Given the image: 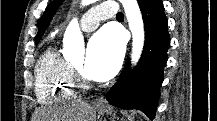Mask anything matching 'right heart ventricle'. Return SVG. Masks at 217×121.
Segmentation results:
<instances>
[{
  "instance_id": "obj_1",
  "label": "right heart ventricle",
  "mask_w": 217,
  "mask_h": 121,
  "mask_svg": "<svg viewBox=\"0 0 217 121\" xmlns=\"http://www.w3.org/2000/svg\"><path fill=\"white\" fill-rule=\"evenodd\" d=\"M35 93L43 104L64 101L74 94L71 65L56 47L47 48L35 70Z\"/></svg>"
}]
</instances>
